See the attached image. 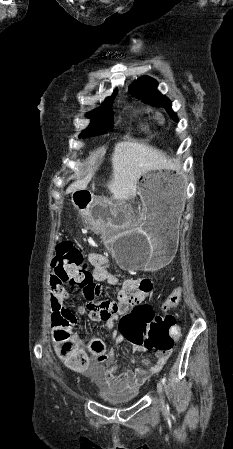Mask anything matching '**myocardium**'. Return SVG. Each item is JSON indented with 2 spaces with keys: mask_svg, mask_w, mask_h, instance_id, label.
Here are the masks:
<instances>
[{
  "mask_svg": "<svg viewBox=\"0 0 233 449\" xmlns=\"http://www.w3.org/2000/svg\"><path fill=\"white\" fill-rule=\"evenodd\" d=\"M154 117H155V120L158 123H164L166 121V118H165L164 114L162 112H160V111L155 112V116Z\"/></svg>",
  "mask_w": 233,
  "mask_h": 449,
  "instance_id": "obj_1",
  "label": "myocardium"
}]
</instances>
